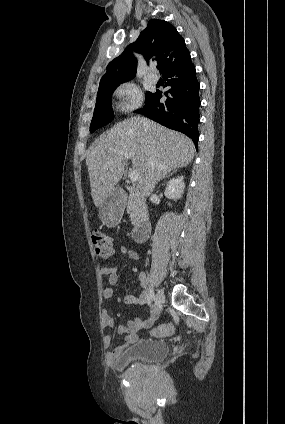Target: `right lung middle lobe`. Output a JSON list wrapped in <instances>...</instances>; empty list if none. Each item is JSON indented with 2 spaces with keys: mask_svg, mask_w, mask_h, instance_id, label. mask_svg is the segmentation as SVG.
<instances>
[{
  "mask_svg": "<svg viewBox=\"0 0 285 424\" xmlns=\"http://www.w3.org/2000/svg\"><path fill=\"white\" fill-rule=\"evenodd\" d=\"M119 84L120 83L99 88L96 99V106L90 125L91 133L112 121L113 114L111 107V96ZM152 95L153 93H146V102L152 97Z\"/></svg>",
  "mask_w": 285,
  "mask_h": 424,
  "instance_id": "dd1d6c3e",
  "label": "right lung middle lobe"
}]
</instances>
